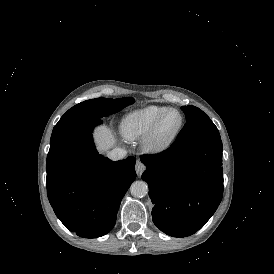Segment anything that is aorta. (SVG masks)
<instances>
[{"mask_svg": "<svg viewBox=\"0 0 274 274\" xmlns=\"http://www.w3.org/2000/svg\"><path fill=\"white\" fill-rule=\"evenodd\" d=\"M131 195L134 197H144L148 193V185L145 181H135L130 187Z\"/></svg>", "mask_w": 274, "mask_h": 274, "instance_id": "aorta-1", "label": "aorta"}]
</instances>
